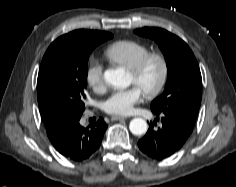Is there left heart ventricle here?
<instances>
[{"mask_svg":"<svg viewBox=\"0 0 236 187\" xmlns=\"http://www.w3.org/2000/svg\"><path fill=\"white\" fill-rule=\"evenodd\" d=\"M130 83L138 86L142 92L153 88L160 78V66L157 62H151L145 68L142 75L136 79L131 73Z\"/></svg>","mask_w":236,"mask_h":187,"instance_id":"left-heart-ventricle-1","label":"left heart ventricle"}]
</instances>
